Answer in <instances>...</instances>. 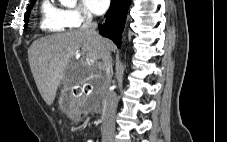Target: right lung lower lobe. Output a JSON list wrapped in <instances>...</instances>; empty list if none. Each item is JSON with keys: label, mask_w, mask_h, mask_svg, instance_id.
Wrapping results in <instances>:
<instances>
[{"label": "right lung lower lobe", "mask_w": 227, "mask_h": 142, "mask_svg": "<svg viewBox=\"0 0 227 142\" xmlns=\"http://www.w3.org/2000/svg\"><path fill=\"white\" fill-rule=\"evenodd\" d=\"M130 3L131 0H111V6L105 15L106 24L99 26L101 35L113 40L118 47Z\"/></svg>", "instance_id": "right-lung-lower-lobe-1"}]
</instances>
